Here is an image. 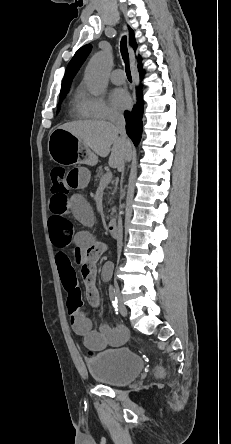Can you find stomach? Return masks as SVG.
<instances>
[{"instance_id":"1","label":"stomach","mask_w":231,"mask_h":444,"mask_svg":"<svg viewBox=\"0 0 231 444\" xmlns=\"http://www.w3.org/2000/svg\"><path fill=\"white\" fill-rule=\"evenodd\" d=\"M50 157L60 164L95 165L97 157L79 138L70 132L57 128L51 132L48 140Z\"/></svg>"}]
</instances>
